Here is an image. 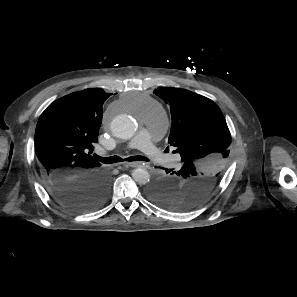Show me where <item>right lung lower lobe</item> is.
I'll list each match as a JSON object with an SVG mask.
<instances>
[{
	"mask_svg": "<svg viewBox=\"0 0 297 297\" xmlns=\"http://www.w3.org/2000/svg\"><path fill=\"white\" fill-rule=\"evenodd\" d=\"M42 177L50 196L72 212L92 211L101 206L108 195L109 177L100 169L79 177L60 172Z\"/></svg>",
	"mask_w": 297,
	"mask_h": 297,
	"instance_id": "1",
	"label": "right lung lower lobe"
}]
</instances>
